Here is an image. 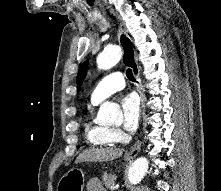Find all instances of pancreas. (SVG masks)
<instances>
[{"label": "pancreas", "mask_w": 221, "mask_h": 191, "mask_svg": "<svg viewBox=\"0 0 221 191\" xmlns=\"http://www.w3.org/2000/svg\"><path fill=\"white\" fill-rule=\"evenodd\" d=\"M116 179H117L116 175L108 174L106 172L102 176V180L106 188H111L115 184Z\"/></svg>", "instance_id": "obj_1"}]
</instances>
